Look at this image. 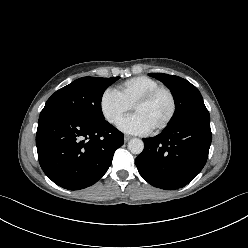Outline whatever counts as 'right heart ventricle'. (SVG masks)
<instances>
[{
  "instance_id": "obj_1",
  "label": "right heart ventricle",
  "mask_w": 248,
  "mask_h": 248,
  "mask_svg": "<svg viewBox=\"0 0 248 248\" xmlns=\"http://www.w3.org/2000/svg\"><path fill=\"white\" fill-rule=\"evenodd\" d=\"M160 83L147 76H137L118 84L114 91L130 107L143 95L160 87Z\"/></svg>"
}]
</instances>
